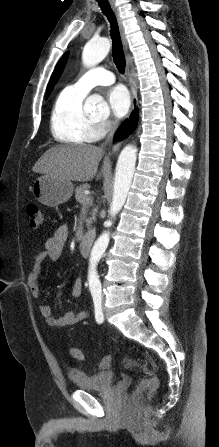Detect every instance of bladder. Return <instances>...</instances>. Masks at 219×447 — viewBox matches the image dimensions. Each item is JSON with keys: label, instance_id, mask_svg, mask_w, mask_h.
<instances>
[{"label": "bladder", "instance_id": "bladder-1", "mask_svg": "<svg viewBox=\"0 0 219 447\" xmlns=\"http://www.w3.org/2000/svg\"><path fill=\"white\" fill-rule=\"evenodd\" d=\"M68 376L79 389L91 392L109 390L115 382V374L112 371H100L90 374L83 370L70 369Z\"/></svg>", "mask_w": 219, "mask_h": 447}]
</instances>
